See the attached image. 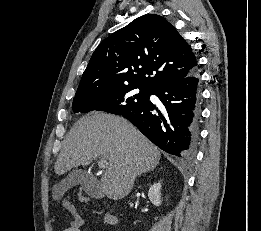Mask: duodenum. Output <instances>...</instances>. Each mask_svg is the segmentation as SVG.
<instances>
[{
	"instance_id": "duodenum-1",
	"label": "duodenum",
	"mask_w": 261,
	"mask_h": 231,
	"mask_svg": "<svg viewBox=\"0 0 261 231\" xmlns=\"http://www.w3.org/2000/svg\"><path fill=\"white\" fill-rule=\"evenodd\" d=\"M108 221L110 224H115L116 218L113 215H108Z\"/></svg>"
}]
</instances>
